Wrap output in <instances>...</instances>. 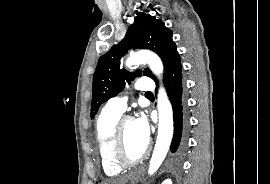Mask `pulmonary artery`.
Returning a JSON list of instances; mask_svg holds the SVG:
<instances>
[{
	"label": "pulmonary artery",
	"instance_id": "e3ab8cb5",
	"mask_svg": "<svg viewBox=\"0 0 270 184\" xmlns=\"http://www.w3.org/2000/svg\"><path fill=\"white\" fill-rule=\"evenodd\" d=\"M135 88L140 92L149 93L154 90V83L151 79L143 77L136 82ZM107 107L122 114L127 108V98L114 97L108 101Z\"/></svg>",
	"mask_w": 270,
	"mask_h": 184
}]
</instances>
